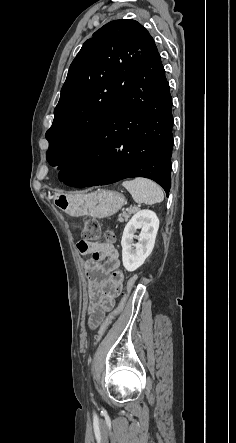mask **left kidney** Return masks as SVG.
I'll use <instances>...</instances> for the list:
<instances>
[{"label":"left kidney","instance_id":"1","mask_svg":"<svg viewBox=\"0 0 236 443\" xmlns=\"http://www.w3.org/2000/svg\"><path fill=\"white\" fill-rule=\"evenodd\" d=\"M137 229L141 231L134 244ZM158 229L159 219L151 210L138 211L127 223L121 240L122 262L127 271L138 269L152 253Z\"/></svg>","mask_w":236,"mask_h":443}]
</instances>
